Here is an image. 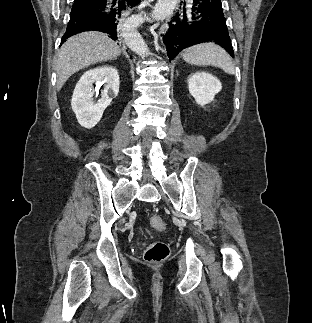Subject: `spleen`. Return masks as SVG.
<instances>
[{
    "mask_svg": "<svg viewBox=\"0 0 312 323\" xmlns=\"http://www.w3.org/2000/svg\"><path fill=\"white\" fill-rule=\"evenodd\" d=\"M184 62L193 66H217L226 74H234L231 58L223 48L216 44H197L182 52Z\"/></svg>",
    "mask_w": 312,
    "mask_h": 323,
    "instance_id": "spleen-1",
    "label": "spleen"
}]
</instances>
